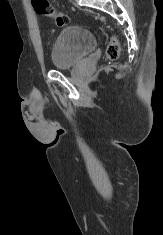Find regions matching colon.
<instances>
[{
	"label": "colon",
	"instance_id": "1",
	"mask_svg": "<svg viewBox=\"0 0 163 235\" xmlns=\"http://www.w3.org/2000/svg\"><path fill=\"white\" fill-rule=\"evenodd\" d=\"M32 5L39 15L50 17L58 27H64L70 22L69 17L57 11L48 0H32ZM119 53L118 40L115 37H111L106 47V57L110 60H115L118 58Z\"/></svg>",
	"mask_w": 163,
	"mask_h": 235
}]
</instances>
